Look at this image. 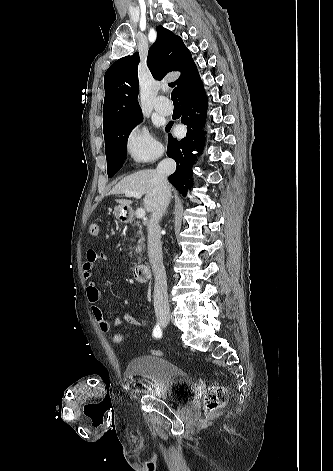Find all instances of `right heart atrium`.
<instances>
[{
    "instance_id": "1",
    "label": "right heart atrium",
    "mask_w": 333,
    "mask_h": 471,
    "mask_svg": "<svg viewBox=\"0 0 333 471\" xmlns=\"http://www.w3.org/2000/svg\"><path fill=\"white\" fill-rule=\"evenodd\" d=\"M125 149L135 161H152L162 154V146L146 127L136 126L126 136Z\"/></svg>"
}]
</instances>
